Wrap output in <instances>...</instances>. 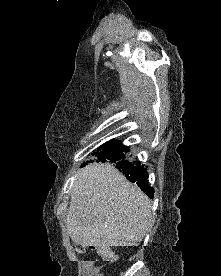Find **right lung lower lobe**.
Returning <instances> with one entry per match:
<instances>
[{
	"label": "right lung lower lobe",
	"mask_w": 221,
	"mask_h": 276,
	"mask_svg": "<svg viewBox=\"0 0 221 276\" xmlns=\"http://www.w3.org/2000/svg\"><path fill=\"white\" fill-rule=\"evenodd\" d=\"M114 165L119 169L120 172L125 174V177L136 183L140 189L145 192L151 199L154 195V189L150 187L148 183V172L147 166L141 164L138 161H132L130 159H122L115 162Z\"/></svg>",
	"instance_id": "1"
}]
</instances>
